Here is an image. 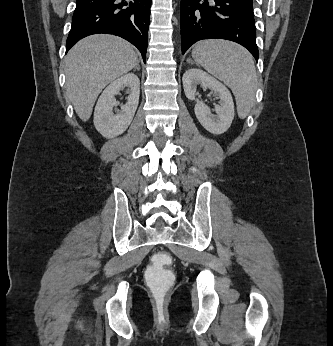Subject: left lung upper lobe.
<instances>
[{"label": "left lung upper lobe", "instance_id": "5c2ea615", "mask_svg": "<svg viewBox=\"0 0 333 346\" xmlns=\"http://www.w3.org/2000/svg\"><path fill=\"white\" fill-rule=\"evenodd\" d=\"M248 2H250V3H252L253 2V0H247Z\"/></svg>", "mask_w": 333, "mask_h": 346}]
</instances>
